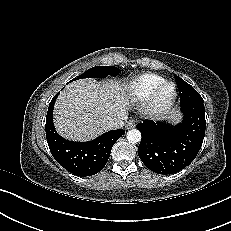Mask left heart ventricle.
<instances>
[{
    "instance_id": "1",
    "label": "left heart ventricle",
    "mask_w": 231,
    "mask_h": 231,
    "mask_svg": "<svg viewBox=\"0 0 231 231\" xmlns=\"http://www.w3.org/2000/svg\"><path fill=\"white\" fill-rule=\"evenodd\" d=\"M170 92H171L170 87L165 88L159 96L160 100H166L169 97Z\"/></svg>"
}]
</instances>
